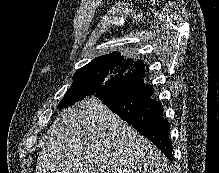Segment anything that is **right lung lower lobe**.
<instances>
[{
  "instance_id": "1",
  "label": "right lung lower lobe",
  "mask_w": 219,
  "mask_h": 173,
  "mask_svg": "<svg viewBox=\"0 0 219 173\" xmlns=\"http://www.w3.org/2000/svg\"><path fill=\"white\" fill-rule=\"evenodd\" d=\"M153 92V86L145 82L143 67L127 75L117 90L95 96L172 160L170 125L163 118L162 104L152 99Z\"/></svg>"
}]
</instances>
